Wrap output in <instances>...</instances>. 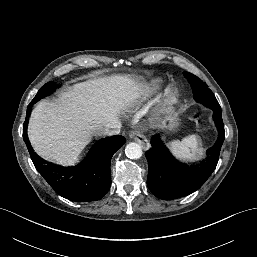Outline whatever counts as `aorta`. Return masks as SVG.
Wrapping results in <instances>:
<instances>
[{"mask_svg": "<svg viewBox=\"0 0 257 257\" xmlns=\"http://www.w3.org/2000/svg\"><path fill=\"white\" fill-rule=\"evenodd\" d=\"M125 154L130 159H139L142 156V148L139 144L131 142L126 145Z\"/></svg>", "mask_w": 257, "mask_h": 257, "instance_id": "762f6f07", "label": "aorta"}]
</instances>
